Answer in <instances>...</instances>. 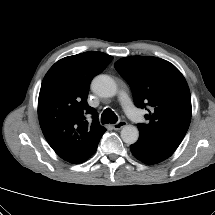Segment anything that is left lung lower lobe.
<instances>
[{"label":"left lung lower lobe","mask_w":215,"mask_h":215,"mask_svg":"<svg viewBox=\"0 0 215 215\" xmlns=\"http://www.w3.org/2000/svg\"><path fill=\"white\" fill-rule=\"evenodd\" d=\"M130 150L138 160L146 164H157L174 153V151L153 143L141 135H139L138 141L130 146Z\"/></svg>","instance_id":"obj_1"}]
</instances>
